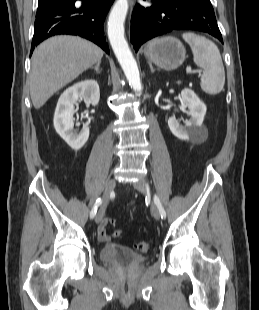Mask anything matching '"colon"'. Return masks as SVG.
Listing matches in <instances>:
<instances>
[{"label":"colon","mask_w":259,"mask_h":310,"mask_svg":"<svg viewBox=\"0 0 259 310\" xmlns=\"http://www.w3.org/2000/svg\"><path fill=\"white\" fill-rule=\"evenodd\" d=\"M106 224L114 226L116 224V220L114 218H109L106 220ZM122 235V231L120 229H115L113 231L114 238H120ZM150 242L149 241H140L138 242L134 249L138 253H146L150 249Z\"/></svg>","instance_id":"obj_1"}]
</instances>
